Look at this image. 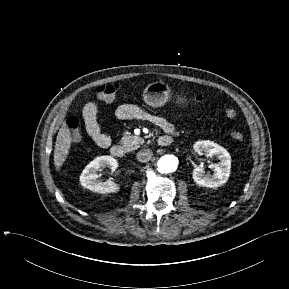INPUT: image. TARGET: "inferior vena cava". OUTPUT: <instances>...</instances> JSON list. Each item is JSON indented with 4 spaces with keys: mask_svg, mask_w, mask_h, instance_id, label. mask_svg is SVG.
<instances>
[{
    "mask_svg": "<svg viewBox=\"0 0 289 289\" xmlns=\"http://www.w3.org/2000/svg\"><path fill=\"white\" fill-rule=\"evenodd\" d=\"M153 156V152L150 149H142L136 154V158L139 162L146 163Z\"/></svg>",
    "mask_w": 289,
    "mask_h": 289,
    "instance_id": "1",
    "label": "inferior vena cava"
}]
</instances>
